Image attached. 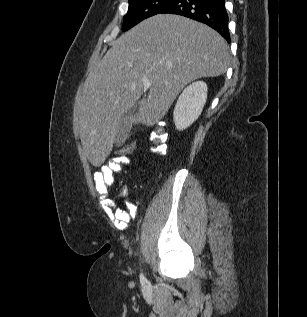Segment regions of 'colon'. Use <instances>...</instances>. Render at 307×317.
Listing matches in <instances>:
<instances>
[{"mask_svg": "<svg viewBox=\"0 0 307 317\" xmlns=\"http://www.w3.org/2000/svg\"><path fill=\"white\" fill-rule=\"evenodd\" d=\"M168 137L167 126L165 122H159L151 131V152L156 155H164L167 151L166 140ZM135 144L128 143L118 147L115 152L117 155L127 156L134 152Z\"/></svg>", "mask_w": 307, "mask_h": 317, "instance_id": "colon-1", "label": "colon"}]
</instances>
